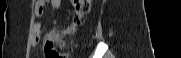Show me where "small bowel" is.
<instances>
[{"label": "small bowel", "mask_w": 181, "mask_h": 58, "mask_svg": "<svg viewBox=\"0 0 181 58\" xmlns=\"http://www.w3.org/2000/svg\"><path fill=\"white\" fill-rule=\"evenodd\" d=\"M49 2L51 7L53 9H59L62 5V0H37L35 2V16L36 18H40L43 13H44V8L46 3ZM40 34H41V26L39 23H36L34 26V37H33V45H36L40 39ZM51 37V38H58L57 33L51 32L49 33L46 38Z\"/></svg>", "instance_id": "small-bowel-1"}]
</instances>
